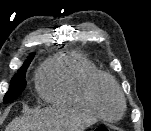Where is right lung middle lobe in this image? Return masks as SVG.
<instances>
[{
    "label": "right lung middle lobe",
    "instance_id": "obj_1",
    "mask_svg": "<svg viewBox=\"0 0 151 131\" xmlns=\"http://www.w3.org/2000/svg\"><path fill=\"white\" fill-rule=\"evenodd\" d=\"M34 57V54H30L28 59L25 61L23 66L17 71V73L14 75L10 82L9 90L4 96L3 103H9L13 100H15L21 92L25 89L26 86V80H25V75H26V70L32 61Z\"/></svg>",
    "mask_w": 151,
    "mask_h": 131
}]
</instances>
